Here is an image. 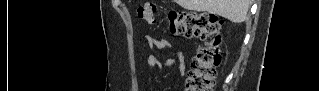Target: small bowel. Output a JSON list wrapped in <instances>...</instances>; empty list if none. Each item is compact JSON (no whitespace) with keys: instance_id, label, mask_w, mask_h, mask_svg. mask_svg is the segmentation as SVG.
<instances>
[{"instance_id":"small-bowel-1","label":"small bowel","mask_w":319,"mask_h":91,"mask_svg":"<svg viewBox=\"0 0 319 91\" xmlns=\"http://www.w3.org/2000/svg\"><path fill=\"white\" fill-rule=\"evenodd\" d=\"M147 44L153 49H173L174 43L165 38H156L154 36H146ZM177 66L179 74L184 75L186 72L185 56L182 52H173L172 56L161 63L155 55H148L145 58V65L148 68H160L161 66Z\"/></svg>"}]
</instances>
